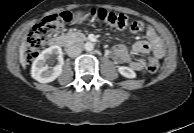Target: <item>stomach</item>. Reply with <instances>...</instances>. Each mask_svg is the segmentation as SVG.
<instances>
[{
    "instance_id": "0dacf381",
    "label": "stomach",
    "mask_w": 194,
    "mask_h": 133,
    "mask_svg": "<svg viewBox=\"0 0 194 133\" xmlns=\"http://www.w3.org/2000/svg\"><path fill=\"white\" fill-rule=\"evenodd\" d=\"M88 18V14L78 12L75 16V22H82Z\"/></svg>"
}]
</instances>
